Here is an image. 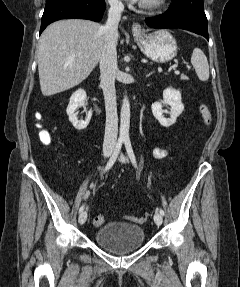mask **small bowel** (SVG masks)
I'll list each match as a JSON object with an SVG mask.
<instances>
[{
  "instance_id": "1",
  "label": "small bowel",
  "mask_w": 240,
  "mask_h": 287,
  "mask_svg": "<svg viewBox=\"0 0 240 287\" xmlns=\"http://www.w3.org/2000/svg\"><path fill=\"white\" fill-rule=\"evenodd\" d=\"M153 155L156 159H162L168 155V150L165 148H155L153 151Z\"/></svg>"
}]
</instances>
